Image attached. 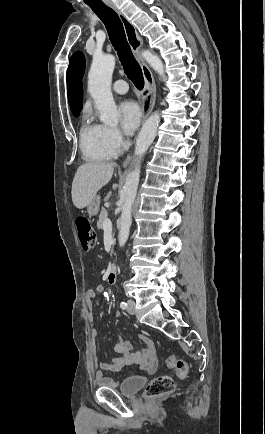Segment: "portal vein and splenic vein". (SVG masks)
I'll return each mask as SVG.
<instances>
[{
  "mask_svg": "<svg viewBox=\"0 0 265 434\" xmlns=\"http://www.w3.org/2000/svg\"><path fill=\"white\" fill-rule=\"evenodd\" d=\"M103 230H112V222L109 220V218H106L103 224Z\"/></svg>",
  "mask_w": 265,
  "mask_h": 434,
  "instance_id": "obj_1",
  "label": "portal vein and splenic vein"
}]
</instances>
